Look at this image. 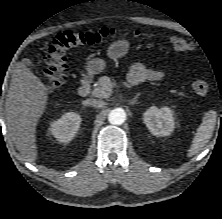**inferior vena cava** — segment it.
I'll list each match as a JSON object with an SVG mask.
<instances>
[{
	"label": "inferior vena cava",
	"instance_id": "inferior-vena-cava-1",
	"mask_svg": "<svg viewBox=\"0 0 222 219\" xmlns=\"http://www.w3.org/2000/svg\"><path fill=\"white\" fill-rule=\"evenodd\" d=\"M86 104L94 108H102L105 105V103L102 100H98V99H89L86 101Z\"/></svg>",
	"mask_w": 222,
	"mask_h": 219
}]
</instances>
